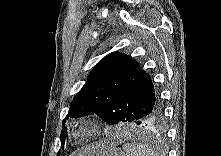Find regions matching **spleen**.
Masks as SVG:
<instances>
[{"label":"spleen","instance_id":"1","mask_svg":"<svg viewBox=\"0 0 221 156\" xmlns=\"http://www.w3.org/2000/svg\"><path fill=\"white\" fill-rule=\"evenodd\" d=\"M126 156H157V153L143 143H131L124 146Z\"/></svg>","mask_w":221,"mask_h":156}]
</instances>
